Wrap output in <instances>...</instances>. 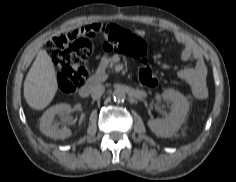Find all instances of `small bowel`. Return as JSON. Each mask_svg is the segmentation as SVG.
Wrapping results in <instances>:
<instances>
[{"mask_svg": "<svg viewBox=\"0 0 236 182\" xmlns=\"http://www.w3.org/2000/svg\"><path fill=\"white\" fill-rule=\"evenodd\" d=\"M174 39L182 45L181 57L185 61H192V67H186L178 72V77L185 82L196 99H204L208 94L207 65L202 49L181 33L174 34Z\"/></svg>", "mask_w": 236, "mask_h": 182, "instance_id": "c3829d8e", "label": "small bowel"}]
</instances>
